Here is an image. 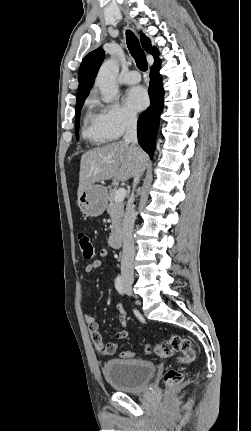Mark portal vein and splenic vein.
I'll use <instances>...</instances> for the list:
<instances>
[{
	"label": "portal vein and splenic vein",
	"instance_id": "1",
	"mask_svg": "<svg viewBox=\"0 0 251 431\" xmlns=\"http://www.w3.org/2000/svg\"><path fill=\"white\" fill-rule=\"evenodd\" d=\"M126 189L125 188H119L116 192H115V201L120 202L123 201L124 198L126 197Z\"/></svg>",
	"mask_w": 251,
	"mask_h": 431
}]
</instances>
